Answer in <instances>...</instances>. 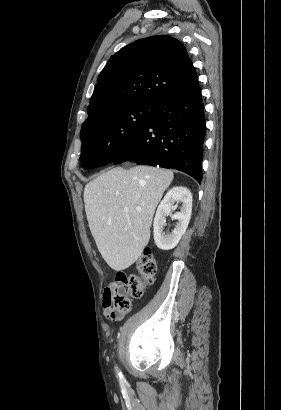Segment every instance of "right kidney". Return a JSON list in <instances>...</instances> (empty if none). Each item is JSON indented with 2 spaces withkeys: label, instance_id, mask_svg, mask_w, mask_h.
<instances>
[{
  "label": "right kidney",
  "instance_id": "ca27d5eb",
  "mask_svg": "<svg viewBox=\"0 0 281 410\" xmlns=\"http://www.w3.org/2000/svg\"><path fill=\"white\" fill-rule=\"evenodd\" d=\"M178 203H181L180 212L173 215V218L177 219L178 222L174 230L165 235L166 216L177 208ZM191 212L192 194L190 190L186 187L176 186L167 192L158 206L153 223L154 241L159 249L170 250L178 244L188 227Z\"/></svg>",
  "mask_w": 281,
  "mask_h": 410
}]
</instances>
